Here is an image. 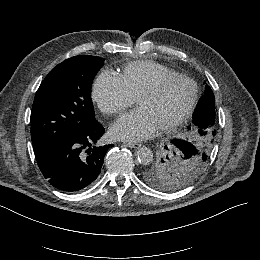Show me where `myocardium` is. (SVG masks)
Instances as JSON below:
<instances>
[{"label":"myocardium","mask_w":260,"mask_h":260,"mask_svg":"<svg viewBox=\"0 0 260 260\" xmlns=\"http://www.w3.org/2000/svg\"><path fill=\"white\" fill-rule=\"evenodd\" d=\"M177 79H181V80H185L190 82L193 87H194V96L193 99L190 102V105L188 106V108L186 109V111L177 119H175L172 122H169L167 124H163L160 125L158 127H156V130L158 133H165V132H170L173 131L175 129H177L178 127H180L184 122L187 121V119L191 116V114L193 113L199 98H200V91L198 89V87L185 75L183 74H173V75H167V76H162L159 77L155 83L151 84L150 86L142 89L138 95L135 98V103L143 96H148V95H154L156 94L166 83L173 81V80H177Z\"/></svg>","instance_id":"myocardium-1"}]
</instances>
